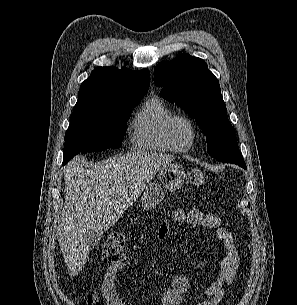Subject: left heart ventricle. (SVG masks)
Returning a JSON list of instances; mask_svg holds the SVG:
<instances>
[{
	"label": "left heart ventricle",
	"mask_w": 297,
	"mask_h": 305,
	"mask_svg": "<svg viewBox=\"0 0 297 305\" xmlns=\"http://www.w3.org/2000/svg\"><path fill=\"white\" fill-rule=\"evenodd\" d=\"M174 134L180 145L185 146L190 141L191 131L189 126L183 122L178 121L174 126Z\"/></svg>",
	"instance_id": "obj_1"
}]
</instances>
